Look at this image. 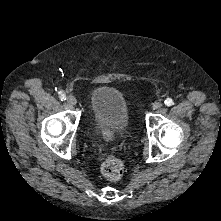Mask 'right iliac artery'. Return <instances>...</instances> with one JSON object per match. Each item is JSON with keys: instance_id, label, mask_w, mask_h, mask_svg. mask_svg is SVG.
Returning a JSON list of instances; mask_svg holds the SVG:
<instances>
[{"instance_id": "82829eb1", "label": "right iliac artery", "mask_w": 221, "mask_h": 221, "mask_svg": "<svg viewBox=\"0 0 221 221\" xmlns=\"http://www.w3.org/2000/svg\"><path fill=\"white\" fill-rule=\"evenodd\" d=\"M58 94H59V98H60L61 101L66 99V96L62 91H60Z\"/></svg>"}]
</instances>
